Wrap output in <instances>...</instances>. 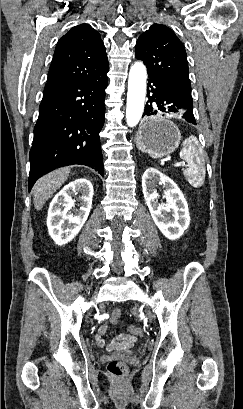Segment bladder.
Instances as JSON below:
<instances>
[{
	"mask_svg": "<svg viewBox=\"0 0 243 409\" xmlns=\"http://www.w3.org/2000/svg\"><path fill=\"white\" fill-rule=\"evenodd\" d=\"M132 354H133L132 351H125V352H123V355H124V356H130V355H132Z\"/></svg>",
	"mask_w": 243,
	"mask_h": 409,
	"instance_id": "1",
	"label": "bladder"
}]
</instances>
